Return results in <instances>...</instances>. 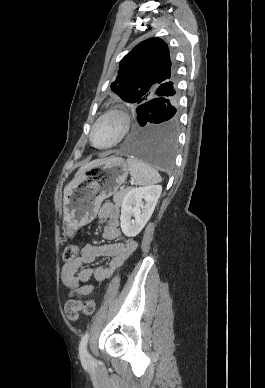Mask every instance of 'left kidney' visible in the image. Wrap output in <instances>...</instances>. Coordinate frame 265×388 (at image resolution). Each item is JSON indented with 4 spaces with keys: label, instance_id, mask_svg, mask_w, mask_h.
<instances>
[{
    "label": "left kidney",
    "instance_id": "obj_1",
    "mask_svg": "<svg viewBox=\"0 0 265 388\" xmlns=\"http://www.w3.org/2000/svg\"><path fill=\"white\" fill-rule=\"evenodd\" d=\"M161 192L162 186H145V188H130L129 192L125 194L120 224L121 230L127 238H134L146 226L155 210ZM132 216L135 218L133 222Z\"/></svg>",
    "mask_w": 265,
    "mask_h": 388
}]
</instances>
